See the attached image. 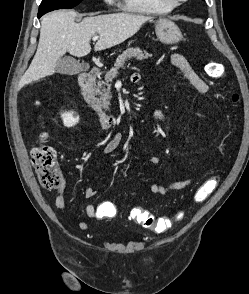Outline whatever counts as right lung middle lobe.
<instances>
[{
	"instance_id": "right-lung-middle-lobe-1",
	"label": "right lung middle lobe",
	"mask_w": 249,
	"mask_h": 294,
	"mask_svg": "<svg viewBox=\"0 0 249 294\" xmlns=\"http://www.w3.org/2000/svg\"><path fill=\"white\" fill-rule=\"evenodd\" d=\"M82 0H42L39 14H45L56 9H70L78 5Z\"/></svg>"
}]
</instances>
